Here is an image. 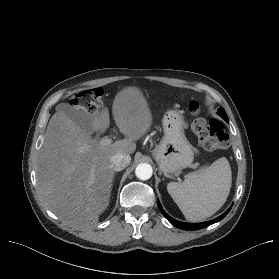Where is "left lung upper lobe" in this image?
<instances>
[{"label": "left lung upper lobe", "mask_w": 279, "mask_h": 279, "mask_svg": "<svg viewBox=\"0 0 279 279\" xmlns=\"http://www.w3.org/2000/svg\"><path fill=\"white\" fill-rule=\"evenodd\" d=\"M218 114H219L226 122H228L227 114H226L225 110H224L222 107L218 109Z\"/></svg>", "instance_id": "5c2ea615"}]
</instances>
